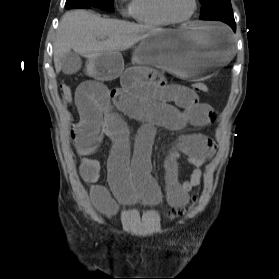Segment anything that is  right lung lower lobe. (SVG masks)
<instances>
[{
	"label": "right lung lower lobe",
	"mask_w": 279,
	"mask_h": 279,
	"mask_svg": "<svg viewBox=\"0 0 279 279\" xmlns=\"http://www.w3.org/2000/svg\"><path fill=\"white\" fill-rule=\"evenodd\" d=\"M65 7L69 9V8H90L91 6L88 4L76 2V3H72L68 6L65 5Z\"/></svg>",
	"instance_id": "1"
}]
</instances>
